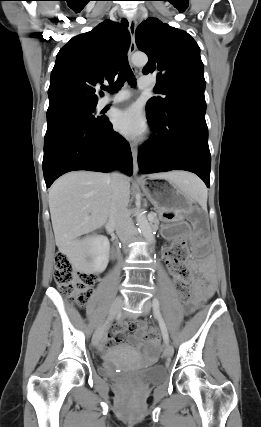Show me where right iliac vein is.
I'll return each mask as SVG.
<instances>
[{
    "label": "right iliac vein",
    "mask_w": 261,
    "mask_h": 427,
    "mask_svg": "<svg viewBox=\"0 0 261 427\" xmlns=\"http://www.w3.org/2000/svg\"><path fill=\"white\" fill-rule=\"evenodd\" d=\"M124 300L121 296H118L110 309L109 315L105 322L95 331L93 337H92V344L97 347L105 330L110 325L111 321L115 318V316L120 312L122 306H123Z\"/></svg>",
    "instance_id": "obj_1"
}]
</instances>
